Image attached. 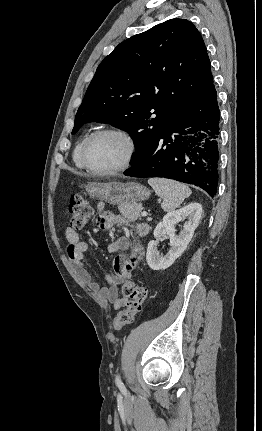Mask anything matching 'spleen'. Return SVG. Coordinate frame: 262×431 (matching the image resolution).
<instances>
[{
  "mask_svg": "<svg viewBox=\"0 0 262 431\" xmlns=\"http://www.w3.org/2000/svg\"><path fill=\"white\" fill-rule=\"evenodd\" d=\"M148 184L163 199L161 207L165 212L175 210L191 195V190L188 186L174 180L157 177L149 178Z\"/></svg>",
  "mask_w": 262,
  "mask_h": 431,
  "instance_id": "spleen-1",
  "label": "spleen"
}]
</instances>
